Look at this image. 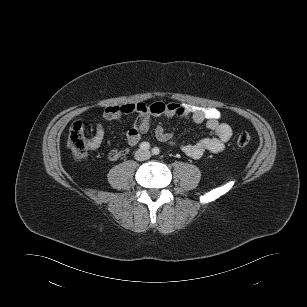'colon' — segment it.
<instances>
[{"instance_id": "1", "label": "colon", "mask_w": 307, "mask_h": 307, "mask_svg": "<svg viewBox=\"0 0 307 307\" xmlns=\"http://www.w3.org/2000/svg\"><path fill=\"white\" fill-rule=\"evenodd\" d=\"M90 140L87 135V128L83 122L77 121L71 126L68 135V145L76 158L82 159L86 157L91 149ZM250 142L251 137L245 132L240 133L236 138V144L239 147H246Z\"/></svg>"}]
</instances>
